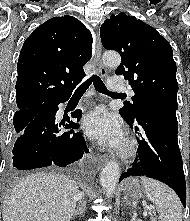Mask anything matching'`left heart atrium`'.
Instances as JSON below:
<instances>
[{
  "instance_id": "obj_1",
  "label": "left heart atrium",
  "mask_w": 190,
  "mask_h": 221,
  "mask_svg": "<svg viewBox=\"0 0 190 221\" xmlns=\"http://www.w3.org/2000/svg\"><path fill=\"white\" fill-rule=\"evenodd\" d=\"M82 129L89 138L110 147H119L124 139L120 118L104 106L93 109L83 117Z\"/></svg>"
}]
</instances>
